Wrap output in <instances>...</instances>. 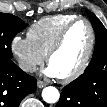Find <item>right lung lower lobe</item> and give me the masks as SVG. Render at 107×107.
Returning a JSON list of instances; mask_svg holds the SVG:
<instances>
[{"mask_svg": "<svg viewBox=\"0 0 107 107\" xmlns=\"http://www.w3.org/2000/svg\"><path fill=\"white\" fill-rule=\"evenodd\" d=\"M36 86V78L26 74L11 60H0V107H18Z\"/></svg>", "mask_w": 107, "mask_h": 107, "instance_id": "98d812e1", "label": "right lung lower lobe"}]
</instances>
